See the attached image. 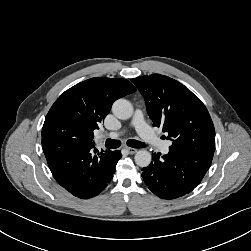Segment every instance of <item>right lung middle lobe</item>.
<instances>
[{"label": "right lung middle lobe", "instance_id": "obj_1", "mask_svg": "<svg viewBox=\"0 0 251 251\" xmlns=\"http://www.w3.org/2000/svg\"><path fill=\"white\" fill-rule=\"evenodd\" d=\"M88 144L80 126L61 115L46 117L42 128V146L66 145L81 147Z\"/></svg>", "mask_w": 251, "mask_h": 251}]
</instances>
